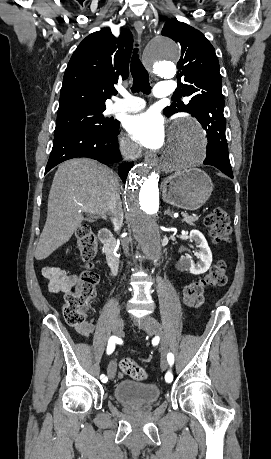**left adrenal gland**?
<instances>
[{"instance_id":"1","label":"left adrenal gland","mask_w":271,"mask_h":459,"mask_svg":"<svg viewBox=\"0 0 271 459\" xmlns=\"http://www.w3.org/2000/svg\"><path fill=\"white\" fill-rule=\"evenodd\" d=\"M165 216L167 214V216H170V218H172V214H170V208H167L166 212H164Z\"/></svg>"}]
</instances>
